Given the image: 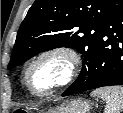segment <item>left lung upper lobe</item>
<instances>
[{
    "mask_svg": "<svg viewBox=\"0 0 123 113\" xmlns=\"http://www.w3.org/2000/svg\"><path fill=\"white\" fill-rule=\"evenodd\" d=\"M112 0H35L17 33L8 69L57 47L77 49L81 81L100 40ZM72 84V85H73Z\"/></svg>",
    "mask_w": 123,
    "mask_h": 113,
    "instance_id": "5c2ea615",
    "label": "left lung upper lobe"
}]
</instances>
